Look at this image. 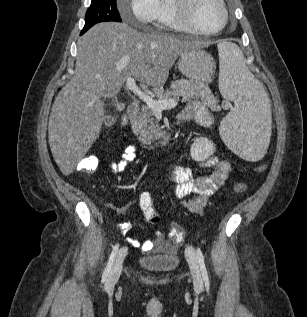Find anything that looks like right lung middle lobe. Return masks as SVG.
Segmentation results:
<instances>
[{
	"mask_svg": "<svg viewBox=\"0 0 307 317\" xmlns=\"http://www.w3.org/2000/svg\"><path fill=\"white\" fill-rule=\"evenodd\" d=\"M104 21H122L116 8V0H92L85 15V26L81 34L94 24Z\"/></svg>",
	"mask_w": 307,
	"mask_h": 317,
	"instance_id": "1",
	"label": "right lung middle lobe"
}]
</instances>
